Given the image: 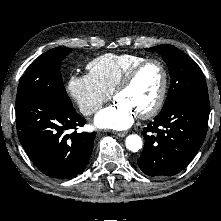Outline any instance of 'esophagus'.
<instances>
[{
    "label": "esophagus",
    "mask_w": 221,
    "mask_h": 221,
    "mask_svg": "<svg viewBox=\"0 0 221 221\" xmlns=\"http://www.w3.org/2000/svg\"><path fill=\"white\" fill-rule=\"evenodd\" d=\"M115 135L119 136V137H124L127 135V132H114Z\"/></svg>",
    "instance_id": "1"
}]
</instances>
